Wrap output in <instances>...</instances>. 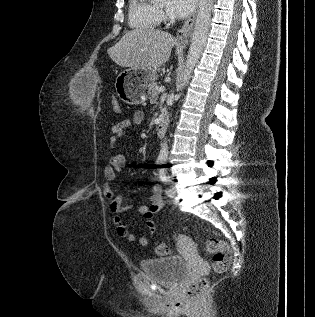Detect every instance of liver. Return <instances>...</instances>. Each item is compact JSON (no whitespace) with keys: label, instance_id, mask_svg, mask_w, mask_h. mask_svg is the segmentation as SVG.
<instances>
[{"label":"liver","instance_id":"obj_1","mask_svg":"<svg viewBox=\"0 0 315 317\" xmlns=\"http://www.w3.org/2000/svg\"><path fill=\"white\" fill-rule=\"evenodd\" d=\"M174 45L175 39L168 32L137 29L127 32L107 53L121 67L157 70L168 61ZM176 55L181 56L179 45Z\"/></svg>","mask_w":315,"mask_h":317}]
</instances>
